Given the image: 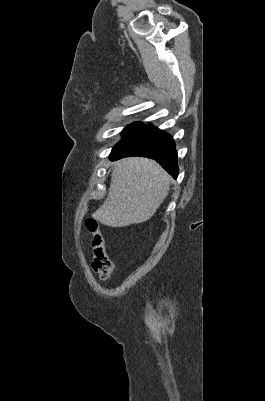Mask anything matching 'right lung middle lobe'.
I'll list each match as a JSON object with an SVG mask.
<instances>
[{
    "instance_id": "right-lung-middle-lobe-1",
    "label": "right lung middle lobe",
    "mask_w": 265,
    "mask_h": 401,
    "mask_svg": "<svg viewBox=\"0 0 265 401\" xmlns=\"http://www.w3.org/2000/svg\"><path fill=\"white\" fill-rule=\"evenodd\" d=\"M139 124H140L139 122H135V123H133V124L127 126V127L123 130L122 133L127 132L128 130H130L131 128H133V127H135V126H137V125H139Z\"/></svg>"
}]
</instances>
